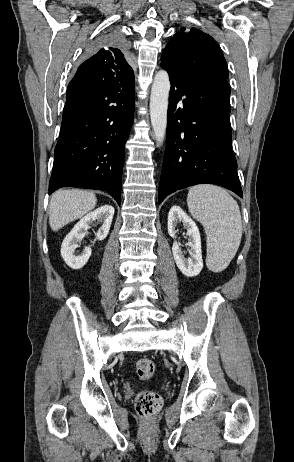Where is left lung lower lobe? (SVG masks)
Wrapping results in <instances>:
<instances>
[{"label":"left lung lower lobe","instance_id":"1","mask_svg":"<svg viewBox=\"0 0 294 462\" xmlns=\"http://www.w3.org/2000/svg\"><path fill=\"white\" fill-rule=\"evenodd\" d=\"M167 145L158 202L195 184L223 186L242 197L231 150L227 81H197L169 74Z\"/></svg>","mask_w":294,"mask_h":462}]
</instances>
